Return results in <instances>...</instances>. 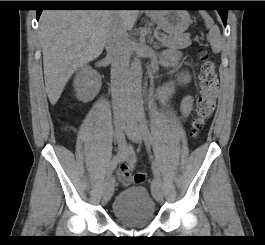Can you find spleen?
<instances>
[{
	"instance_id": "1",
	"label": "spleen",
	"mask_w": 265,
	"mask_h": 245,
	"mask_svg": "<svg viewBox=\"0 0 265 245\" xmlns=\"http://www.w3.org/2000/svg\"><path fill=\"white\" fill-rule=\"evenodd\" d=\"M205 20L206 27L209 28V39L213 52L219 53L222 49V39L218 26L214 25L213 19L205 11L200 12Z\"/></svg>"
}]
</instances>
